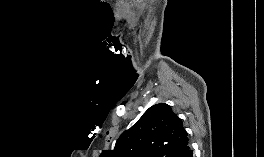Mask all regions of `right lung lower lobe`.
<instances>
[{
	"instance_id": "1",
	"label": "right lung lower lobe",
	"mask_w": 264,
	"mask_h": 157,
	"mask_svg": "<svg viewBox=\"0 0 264 157\" xmlns=\"http://www.w3.org/2000/svg\"><path fill=\"white\" fill-rule=\"evenodd\" d=\"M175 157H193V151L190 146L187 145Z\"/></svg>"
}]
</instances>
